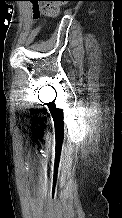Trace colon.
<instances>
[{"label":"colon","instance_id":"5ec220e1","mask_svg":"<svg viewBox=\"0 0 122 218\" xmlns=\"http://www.w3.org/2000/svg\"><path fill=\"white\" fill-rule=\"evenodd\" d=\"M65 1L66 0H32V2L40 4V7L33 9V15L35 18H38L40 15L54 17L59 13L61 5Z\"/></svg>","mask_w":122,"mask_h":218}]
</instances>
